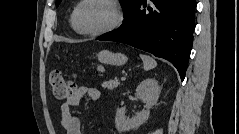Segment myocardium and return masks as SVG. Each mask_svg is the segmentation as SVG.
Instances as JSON below:
<instances>
[{"mask_svg":"<svg viewBox=\"0 0 239 134\" xmlns=\"http://www.w3.org/2000/svg\"><path fill=\"white\" fill-rule=\"evenodd\" d=\"M89 1H100L110 7V9L112 10V13H113V19L107 27H105L101 30H97V31H84L81 28H79V26L77 24V17H78L79 10L85 3L89 2ZM121 20H122L121 12H120L117 4L112 0H83V1H80L76 5V7L72 13V17H71V23H72L74 30L80 35L89 36V37L102 36V35H105L111 31L115 30L120 25Z\"/></svg>","mask_w":239,"mask_h":134,"instance_id":"f54148a6","label":"myocardium"}]
</instances>
